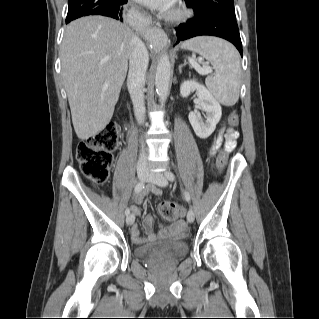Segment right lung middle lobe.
<instances>
[{"mask_svg":"<svg viewBox=\"0 0 319 319\" xmlns=\"http://www.w3.org/2000/svg\"><path fill=\"white\" fill-rule=\"evenodd\" d=\"M114 0H68V14L66 21L78 18V15L89 12L90 10L110 4Z\"/></svg>","mask_w":319,"mask_h":319,"instance_id":"dd1d6c3e","label":"right lung middle lobe"}]
</instances>
